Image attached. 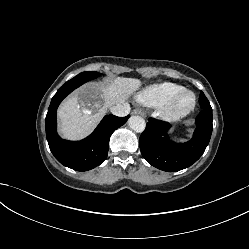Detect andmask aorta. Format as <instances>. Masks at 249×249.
<instances>
[{
  "mask_svg": "<svg viewBox=\"0 0 249 249\" xmlns=\"http://www.w3.org/2000/svg\"><path fill=\"white\" fill-rule=\"evenodd\" d=\"M128 125L137 133L143 132L146 127L145 120L140 116H131L128 119Z\"/></svg>",
  "mask_w": 249,
  "mask_h": 249,
  "instance_id": "obj_1",
  "label": "aorta"
}]
</instances>
